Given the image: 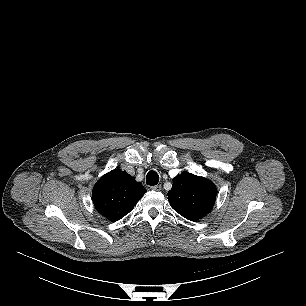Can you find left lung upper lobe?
<instances>
[{
  "instance_id": "left-lung-upper-lobe-1",
  "label": "left lung upper lobe",
  "mask_w": 306,
  "mask_h": 306,
  "mask_svg": "<svg viewBox=\"0 0 306 306\" xmlns=\"http://www.w3.org/2000/svg\"><path fill=\"white\" fill-rule=\"evenodd\" d=\"M216 194V186L210 180L183 172L173 179L168 200L176 212L188 220L196 221L211 211Z\"/></svg>"
}]
</instances>
